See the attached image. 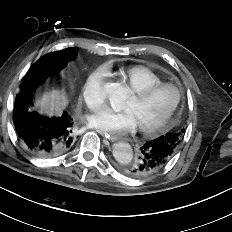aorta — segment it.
I'll return each instance as SVG.
<instances>
[{"label":"aorta","instance_id":"762f6f07","mask_svg":"<svg viewBox=\"0 0 232 232\" xmlns=\"http://www.w3.org/2000/svg\"><path fill=\"white\" fill-rule=\"evenodd\" d=\"M106 96L115 111H120L124 108L128 92L120 83H107L105 85ZM113 156L117 162L128 164L133 158V151L129 143L117 142L113 145Z\"/></svg>","mask_w":232,"mask_h":232}]
</instances>
